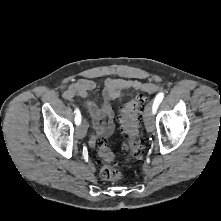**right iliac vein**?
I'll return each instance as SVG.
<instances>
[{
    "instance_id": "63e3f726",
    "label": "right iliac vein",
    "mask_w": 221,
    "mask_h": 221,
    "mask_svg": "<svg viewBox=\"0 0 221 221\" xmlns=\"http://www.w3.org/2000/svg\"><path fill=\"white\" fill-rule=\"evenodd\" d=\"M86 133H87V125H86V123H85V121H84V122H82V124L78 127L76 134H77L78 138H81V139H82V138H84V137L86 136Z\"/></svg>"
}]
</instances>
